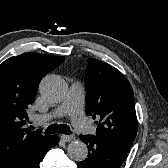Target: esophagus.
Instances as JSON below:
<instances>
[{
	"instance_id": "esophagus-1",
	"label": "esophagus",
	"mask_w": 168,
	"mask_h": 168,
	"mask_svg": "<svg viewBox=\"0 0 168 168\" xmlns=\"http://www.w3.org/2000/svg\"><path fill=\"white\" fill-rule=\"evenodd\" d=\"M75 139L74 135H61V140H63L64 142H70L73 141Z\"/></svg>"
}]
</instances>
